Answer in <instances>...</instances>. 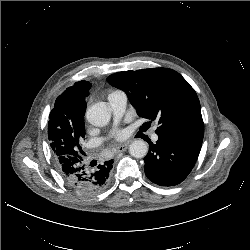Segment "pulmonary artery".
Returning <instances> with one entry per match:
<instances>
[{
    "mask_svg": "<svg viewBox=\"0 0 250 250\" xmlns=\"http://www.w3.org/2000/svg\"><path fill=\"white\" fill-rule=\"evenodd\" d=\"M108 102H109V105L111 107L114 119L117 120L118 118H120L123 115V113L126 109L127 96L123 91L115 90V91H112L109 93ZM152 139H153V141H157L158 135L153 134Z\"/></svg>",
    "mask_w": 250,
    "mask_h": 250,
    "instance_id": "e3ab8cb5",
    "label": "pulmonary artery"
}]
</instances>
